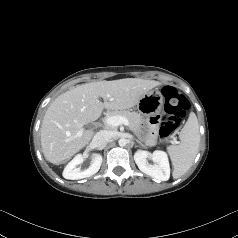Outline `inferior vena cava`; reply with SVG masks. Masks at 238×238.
<instances>
[{"instance_id": "602c4592", "label": "inferior vena cava", "mask_w": 238, "mask_h": 238, "mask_svg": "<svg viewBox=\"0 0 238 238\" xmlns=\"http://www.w3.org/2000/svg\"><path fill=\"white\" fill-rule=\"evenodd\" d=\"M110 138L111 136L108 131L101 130L94 135L92 139V144L95 147H101L107 144Z\"/></svg>"}]
</instances>
